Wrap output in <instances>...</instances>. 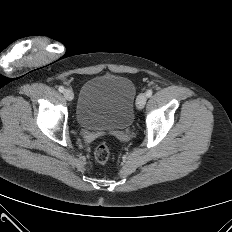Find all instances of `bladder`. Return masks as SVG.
<instances>
[{"mask_svg": "<svg viewBox=\"0 0 232 232\" xmlns=\"http://www.w3.org/2000/svg\"><path fill=\"white\" fill-rule=\"evenodd\" d=\"M135 101V86L129 78L95 76L81 88L76 120L87 130H123L133 122Z\"/></svg>", "mask_w": 232, "mask_h": 232, "instance_id": "1", "label": "bladder"}]
</instances>
